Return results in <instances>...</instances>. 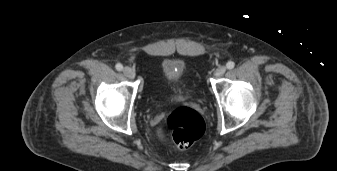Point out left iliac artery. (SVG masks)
<instances>
[{"label":"left iliac artery","mask_w":337,"mask_h":171,"mask_svg":"<svg viewBox=\"0 0 337 171\" xmlns=\"http://www.w3.org/2000/svg\"><path fill=\"white\" fill-rule=\"evenodd\" d=\"M235 66V63L233 61H229L227 64H226V67L227 69H233Z\"/></svg>","instance_id":"obj_1"}]
</instances>
